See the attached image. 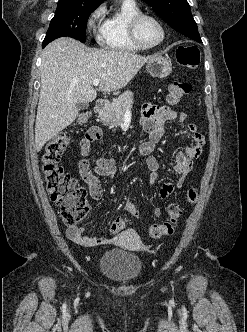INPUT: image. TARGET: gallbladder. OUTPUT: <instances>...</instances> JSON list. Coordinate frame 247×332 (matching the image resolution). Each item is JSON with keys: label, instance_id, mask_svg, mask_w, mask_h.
Listing matches in <instances>:
<instances>
[{"label": "gallbladder", "instance_id": "bac80fb5", "mask_svg": "<svg viewBox=\"0 0 247 332\" xmlns=\"http://www.w3.org/2000/svg\"><path fill=\"white\" fill-rule=\"evenodd\" d=\"M77 106H78V108L79 109H86V108H88V103H84V102H79L78 104H77Z\"/></svg>", "mask_w": 247, "mask_h": 332}]
</instances>
